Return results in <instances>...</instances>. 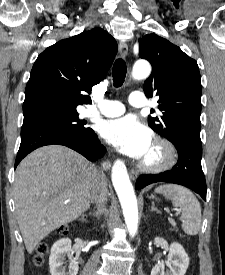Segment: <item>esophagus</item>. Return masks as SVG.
Wrapping results in <instances>:
<instances>
[{
    "instance_id": "esophagus-1",
    "label": "esophagus",
    "mask_w": 225,
    "mask_h": 275,
    "mask_svg": "<svg viewBox=\"0 0 225 275\" xmlns=\"http://www.w3.org/2000/svg\"><path fill=\"white\" fill-rule=\"evenodd\" d=\"M119 53L122 58H126L128 56V46L125 42L119 43ZM130 177L134 180L138 177V172L134 169L130 170Z\"/></svg>"
}]
</instances>
